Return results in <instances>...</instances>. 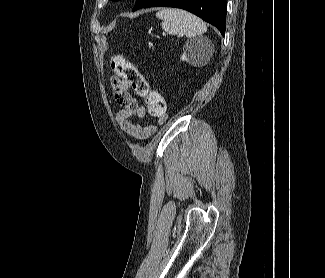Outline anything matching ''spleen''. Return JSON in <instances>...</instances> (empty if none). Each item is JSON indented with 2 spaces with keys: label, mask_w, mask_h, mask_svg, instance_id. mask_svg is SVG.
<instances>
[{
  "label": "spleen",
  "mask_w": 325,
  "mask_h": 278,
  "mask_svg": "<svg viewBox=\"0 0 325 278\" xmlns=\"http://www.w3.org/2000/svg\"><path fill=\"white\" fill-rule=\"evenodd\" d=\"M156 17L162 20V29L171 35L191 38L207 31V26L201 19L181 9L163 8L156 13Z\"/></svg>",
  "instance_id": "spleen-1"
}]
</instances>
